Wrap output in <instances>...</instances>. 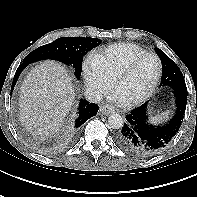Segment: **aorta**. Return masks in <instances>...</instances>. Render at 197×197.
Wrapping results in <instances>:
<instances>
[{
	"label": "aorta",
	"mask_w": 197,
	"mask_h": 197,
	"mask_svg": "<svg viewBox=\"0 0 197 197\" xmlns=\"http://www.w3.org/2000/svg\"><path fill=\"white\" fill-rule=\"evenodd\" d=\"M108 125L112 129H120L124 125V120L121 115L113 113L108 117Z\"/></svg>",
	"instance_id": "1"
}]
</instances>
